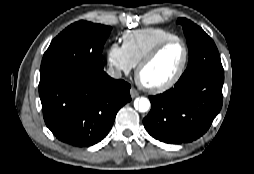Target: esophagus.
Instances as JSON below:
<instances>
[{
	"label": "esophagus",
	"instance_id": "esophagus-1",
	"mask_svg": "<svg viewBox=\"0 0 254 174\" xmlns=\"http://www.w3.org/2000/svg\"><path fill=\"white\" fill-rule=\"evenodd\" d=\"M130 95L132 98H135L139 95V92L135 88L130 89Z\"/></svg>",
	"mask_w": 254,
	"mask_h": 174
}]
</instances>
